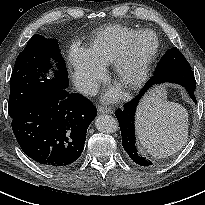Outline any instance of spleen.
<instances>
[{"mask_svg":"<svg viewBox=\"0 0 205 205\" xmlns=\"http://www.w3.org/2000/svg\"><path fill=\"white\" fill-rule=\"evenodd\" d=\"M136 132L147 151L165 158L180 151L188 139V113L177 103L159 97L141 102L136 113Z\"/></svg>","mask_w":205,"mask_h":205,"instance_id":"obj_1","label":"spleen"}]
</instances>
